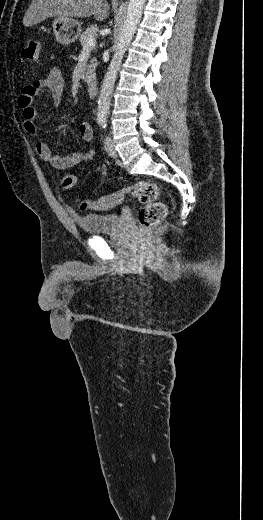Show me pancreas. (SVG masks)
Instances as JSON below:
<instances>
[{"instance_id": "cf45deb5", "label": "pancreas", "mask_w": 263, "mask_h": 520, "mask_svg": "<svg viewBox=\"0 0 263 520\" xmlns=\"http://www.w3.org/2000/svg\"><path fill=\"white\" fill-rule=\"evenodd\" d=\"M98 28L97 25L89 26L82 34L80 35V43L82 47H86L87 42L90 38H94L97 35ZM96 66V58L91 60V64L87 67V72L85 74V82H89L91 77L93 76L94 68Z\"/></svg>"}]
</instances>
